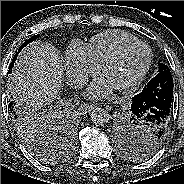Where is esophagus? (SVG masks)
Returning <instances> with one entry per match:
<instances>
[{"instance_id": "1", "label": "esophagus", "mask_w": 184, "mask_h": 184, "mask_svg": "<svg viewBox=\"0 0 184 184\" xmlns=\"http://www.w3.org/2000/svg\"><path fill=\"white\" fill-rule=\"evenodd\" d=\"M92 109H94V106L93 105H90V104H82L80 106V111L83 114H86V113L90 112Z\"/></svg>"}]
</instances>
